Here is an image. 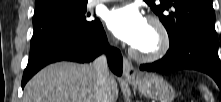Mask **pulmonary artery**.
Instances as JSON below:
<instances>
[{"label":"pulmonary artery","mask_w":221,"mask_h":102,"mask_svg":"<svg viewBox=\"0 0 221 102\" xmlns=\"http://www.w3.org/2000/svg\"><path fill=\"white\" fill-rule=\"evenodd\" d=\"M111 1H115V0H97L95 1V3H103V2H111Z\"/></svg>","instance_id":"1"}]
</instances>
